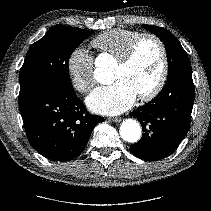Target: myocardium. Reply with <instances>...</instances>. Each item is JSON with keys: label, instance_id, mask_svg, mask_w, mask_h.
<instances>
[{"label": "myocardium", "instance_id": "obj_1", "mask_svg": "<svg viewBox=\"0 0 211 211\" xmlns=\"http://www.w3.org/2000/svg\"><path fill=\"white\" fill-rule=\"evenodd\" d=\"M146 39H150L154 41L160 49L161 72L154 87L150 91L139 95V99L143 102H148L156 98L159 95V93L162 91L167 81V77L169 73V62H168V52H167V48L164 42L162 41L160 37H158L157 35L153 33L140 34L137 38H135L132 41V43L129 45V47L123 54V56L117 60V65L119 67H126L130 65L136 55L139 45Z\"/></svg>", "mask_w": 211, "mask_h": 211}]
</instances>
